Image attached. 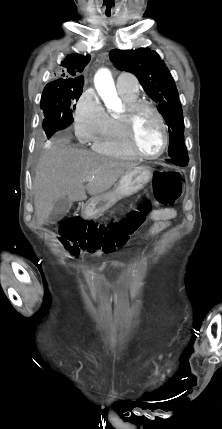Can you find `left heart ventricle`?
Masks as SVG:
<instances>
[{
  "instance_id": "1",
  "label": "left heart ventricle",
  "mask_w": 222,
  "mask_h": 429,
  "mask_svg": "<svg viewBox=\"0 0 222 429\" xmlns=\"http://www.w3.org/2000/svg\"><path fill=\"white\" fill-rule=\"evenodd\" d=\"M136 143L145 154H156L163 145V135L160 125L148 110L139 113L135 125Z\"/></svg>"
}]
</instances>
